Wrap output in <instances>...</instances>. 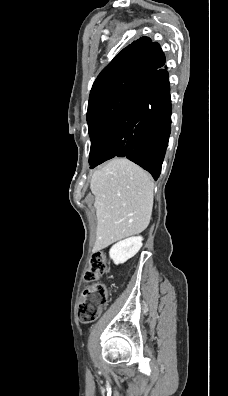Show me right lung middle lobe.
Wrapping results in <instances>:
<instances>
[{
	"mask_svg": "<svg viewBox=\"0 0 228 396\" xmlns=\"http://www.w3.org/2000/svg\"><path fill=\"white\" fill-rule=\"evenodd\" d=\"M144 75V70H137L107 80L91 90L87 111L91 138L90 166L94 163L113 122Z\"/></svg>",
	"mask_w": 228,
	"mask_h": 396,
	"instance_id": "dd1d6c3e",
	"label": "right lung middle lobe"
}]
</instances>
